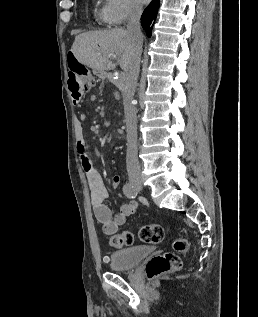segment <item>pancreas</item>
Here are the masks:
<instances>
[{
	"mask_svg": "<svg viewBox=\"0 0 258 317\" xmlns=\"http://www.w3.org/2000/svg\"><path fill=\"white\" fill-rule=\"evenodd\" d=\"M112 81H113V82L116 81L117 84H122L124 80H123L122 77H117V78L113 79Z\"/></svg>",
	"mask_w": 258,
	"mask_h": 317,
	"instance_id": "pancreas-1",
	"label": "pancreas"
}]
</instances>
